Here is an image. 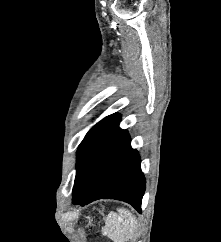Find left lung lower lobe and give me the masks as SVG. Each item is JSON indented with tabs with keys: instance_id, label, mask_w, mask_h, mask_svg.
<instances>
[{
	"instance_id": "left-lung-lower-lobe-1",
	"label": "left lung lower lobe",
	"mask_w": 221,
	"mask_h": 242,
	"mask_svg": "<svg viewBox=\"0 0 221 242\" xmlns=\"http://www.w3.org/2000/svg\"><path fill=\"white\" fill-rule=\"evenodd\" d=\"M118 124L80 164L72 193L74 204L83 206L100 198L117 199L141 212L145 178L140 169V157L131 148L128 133Z\"/></svg>"
}]
</instances>
